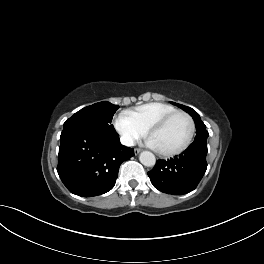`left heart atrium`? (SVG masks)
Here are the masks:
<instances>
[{
  "label": "left heart atrium",
  "instance_id": "39dd6f15",
  "mask_svg": "<svg viewBox=\"0 0 264 264\" xmlns=\"http://www.w3.org/2000/svg\"><path fill=\"white\" fill-rule=\"evenodd\" d=\"M147 144H148L149 147L157 149V146H156L155 142L152 139H149Z\"/></svg>",
  "mask_w": 264,
  "mask_h": 264
}]
</instances>
